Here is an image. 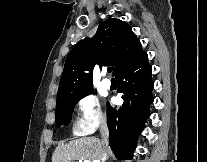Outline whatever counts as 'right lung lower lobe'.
<instances>
[{
    "label": "right lung lower lobe",
    "instance_id": "obj_1",
    "mask_svg": "<svg viewBox=\"0 0 207 162\" xmlns=\"http://www.w3.org/2000/svg\"><path fill=\"white\" fill-rule=\"evenodd\" d=\"M151 66L145 53L138 60L116 74L124 103L119 110L108 104L107 122L110 133V147L119 160H129L143 124L149 116L153 102Z\"/></svg>",
    "mask_w": 207,
    "mask_h": 162
}]
</instances>
